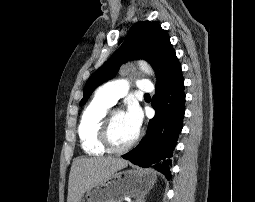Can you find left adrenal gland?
Returning a JSON list of instances; mask_svg holds the SVG:
<instances>
[{
	"mask_svg": "<svg viewBox=\"0 0 255 202\" xmlns=\"http://www.w3.org/2000/svg\"><path fill=\"white\" fill-rule=\"evenodd\" d=\"M133 202H145V196H140Z\"/></svg>",
	"mask_w": 255,
	"mask_h": 202,
	"instance_id": "a2214340",
	"label": "left adrenal gland"
}]
</instances>
